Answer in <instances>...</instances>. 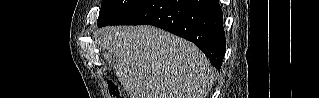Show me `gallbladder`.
Here are the masks:
<instances>
[{
    "label": "gallbladder",
    "instance_id": "1",
    "mask_svg": "<svg viewBox=\"0 0 319 98\" xmlns=\"http://www.w3.org/2000/svg\"><path fill=\"white\" fill-rule=\"evenodd\" d=\"M104 54H105V53H104ZM105 59H106L108 62H111L109 57H105Z\"/></svg>",
    "mask_w": 319,
    "mask_h": 98
}]
</instances>
